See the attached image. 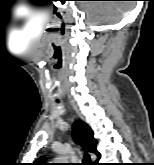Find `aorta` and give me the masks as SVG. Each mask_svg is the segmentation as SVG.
I'll return each instance as SVG.
<instances>
[{"label":"aorta","mask_w":154,"mask_h":165,"mask_svg":"<svg viewBox=\"0 0 154 165\" xmlns=\"http://www.w3.org/2000/svg\"><path fill=\"white\" fill-rule=\"evenodd\" d=\"M56 163H65L67 161L66 157L59 156L55 159Z\"/></svg>","instance_id":"obj_1"}]
</instances>
